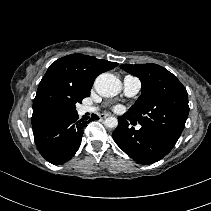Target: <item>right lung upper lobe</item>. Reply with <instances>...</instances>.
<instances>
[{
	"label": "right lung upper lobe",
	"mask_w": 211,
	"mask_h": 211,
	"mask_svg": "<svg viewBox=\"0 0 211 211\" xmlns=\"http://www.w3.org/2000/svg\"><path fill=\"white\" fill-rule=\"evenodd\" d=\"M118 64L93 56L72 54L53 62L39 83L33 103L32 127L66 116L64 102L70 96H90L95 78Z\"/></svg>",
	"instance_id": "1"
}]
</instances>
